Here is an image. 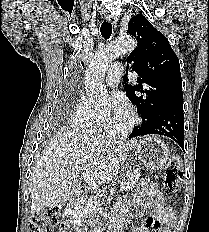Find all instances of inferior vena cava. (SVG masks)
Listing matches in <instances>:
<instances>
[{
  "instance_id": "602c4592",
  "label": "inferior vena cava",
  "mask_w": 209,
  "mask_h": 232,
  "mask_svg": "<svg viewBox=\"0 0 209 232\" xmlns=\"http://www.w3.org/2000/svg\"><path fill=\"white\" fill-rule=\"evenodd\" d=\"M82 232H88V223L83 225Z\"/></svg>"
}]
</instances>
